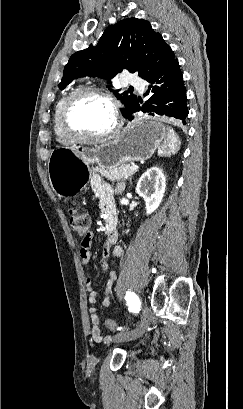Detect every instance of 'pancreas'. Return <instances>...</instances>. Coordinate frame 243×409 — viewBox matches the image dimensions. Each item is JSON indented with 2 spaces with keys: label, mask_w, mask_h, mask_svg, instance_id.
I'll return each instance as SVG.
<instances>
[{
  "label": "pancreas",
  "mask_w": 243,
  "mask_h": 409,
  "mask_svg": "<svg viewBox=\"0 0 243 409\" xmlns=\"http://www.w3.org/2000/svg\"><path fill=\"white\" fill-rule=\"evenodd\" d=\"M96 172L110 181L126 180L133 176L136 170L130 169L129 165H124L119 168H97Z\"/></svg>",
  "instance_id": "pancreas-1"
}]
</instances>
